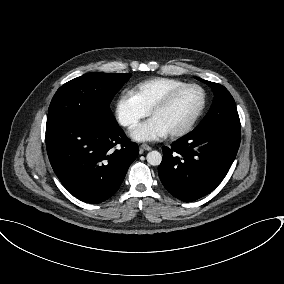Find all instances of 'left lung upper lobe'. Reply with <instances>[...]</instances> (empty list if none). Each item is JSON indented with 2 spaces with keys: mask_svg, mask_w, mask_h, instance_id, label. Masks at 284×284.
I'll return each instance as SVG.
<instances>
[{
  "mask_svg": "<svg viewBox=\"0 0 284 284\" xmlns=\"http://www.w3.org/2000/svg\"><path fill=\"white\" fill-rule=\"evenodd\" d=\"M197 79L209 85L213 89L215 95L209 112L198 127H203L221 121L240 122L234 99L228 90L220 84L202 80L200 78Z\"/></svg>",
  "mask_w": 284,
  "mask_h": 284,
  "instance_id": "5c2ea615",
  "label": "left lung upper lobe"
}]
</instances>
